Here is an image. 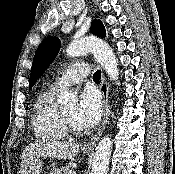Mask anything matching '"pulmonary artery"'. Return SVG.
<instances>
[{
  "label": "pulmonary artery",
  "instance_id": "pulmonary-artery-1",
  "mask_svg": "<svg viewBox=\"0 0 175 174\" xmlns=\"http://www.w3.org/2000/svg\"><path fill=\"white\" fill-rule=\"evenodd\" d=\"M90 69L87 63L78 62L69 67L53 84L52 89L60 87L72 86L81 83L89 74Z\"/></svg>",
  "mask_w": 175,
  "mask_h": 174
}]
</instances>
